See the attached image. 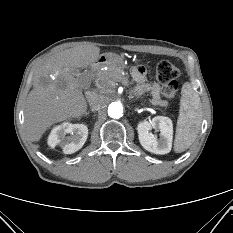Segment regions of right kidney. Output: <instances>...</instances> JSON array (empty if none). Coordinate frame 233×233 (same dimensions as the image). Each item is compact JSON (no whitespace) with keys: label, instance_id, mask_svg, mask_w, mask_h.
Wrapping results in <instances>:
<instances>
[{"label":"right kidney","instance_id":"1","mask_svg":"<svg viewBox=\"0 0 233 233\" xmlns=\"http://www.w3.org/2000/svg\"><path fill=\"white\" fill-rule=\"evenodd\" d=\"M88 137L84 124L63 123L54 127L48 137L51 148L59 145L65 154H72L82 148Z\"/></svg>","mask_w":233,"mask_h":233}]
</instances>
